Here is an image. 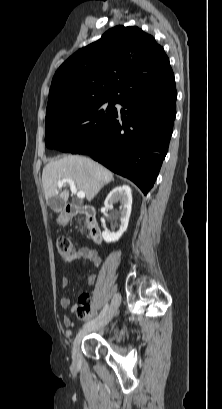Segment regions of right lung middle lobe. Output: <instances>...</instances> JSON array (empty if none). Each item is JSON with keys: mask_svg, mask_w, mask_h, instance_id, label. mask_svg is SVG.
Segmentation results:
<instances>
[{"mask_svg": "<svg viewBox=\"0 0 222 409\" xmlns=\"http://www.w3.org/2000/svg\"><path fill=\"white\" fill-rule=\"evenodd\" d=\"M109 102L108 106L105 105ZM113 101L72 104L46 113L48 148L82 153L100 146L117 112Z\"/></svg>", "mask_w": 222, "mask_h": 409, "instance_id": "obj_1", "label": "right lung middle lobe"}]
</instances>
